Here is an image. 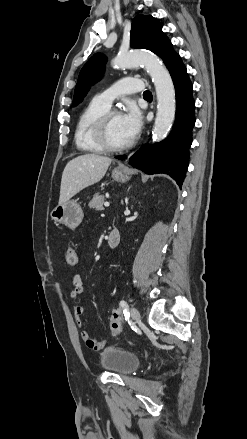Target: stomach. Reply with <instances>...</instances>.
<instances>
[{
    "instance_id": "0dacf381",
    "label": "stomach",
    "mask_w": 247,
    "mask_h": 439,
    "mask_svg": "<svg viewBox=\"0 0 247 439\" xmlns=\"http://www.w3.org/2000/svg\"><path fill=\"white\" fill-rule=\"evenodd\" d=\"M112 178L115 181L126 182L129 179L128 170L115 168L112 171ZM51 217L55 222L63 224L70 229H75L83 219V211L78 203L69 200L64 204L56 206L52 212Z\"/></svg>"
}]
</instances>
